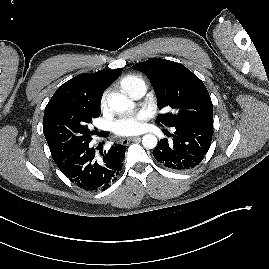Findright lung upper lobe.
I'll return each instance as SVG.
<instances>
[{"label":"right lung upper lobe","instance_id":"cb5924a9","mask_svg":"<svg viewBox=\"0 0 269 269\" xmlns=\"http://www.w3.org/2000/svg\"><path fill=\"white\" fill-rule=\"evenodd\" d=\"M121 72L122 69L118 68L73 77L56 90L44 112L61 106L100 108L103 92Z\"/></svg>","mask_w":269,"mask_h":269}]
</instances>
